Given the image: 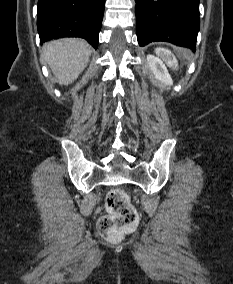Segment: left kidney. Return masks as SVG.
<instances>
[{"mask_svg":"<svg viewBox=\"0 0 233 284\" xmlns=\"http://www.w3.org/2000/svg\"><path fill=\"white\" fill-rule=\"evenodd\" d=\"M147 62L156 79H158L165 85L173 84L172 78L161 59L149 54L147 55Z\"/></svg>","mask_w":233,"mask_h":284,"instance_id":"1","label":"left kidney"}]
</instances>
